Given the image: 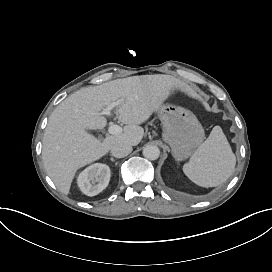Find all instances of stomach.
<instances>
[{
    "instance_id": "stomach-1",
    "label": "stomach",
    "mask_w": 272,
    "mask_h": 272,
    "mask_svg": "<svg viewBox=\"0 0 272 272\" xmlns=\"http://www.w3.org/2000/svg\"><path fill=\"white\" fill-rule=\"evenodd\" d=\"M156 112L163 124V139L177 161L191 156L202 144L205 133L201 123L189 110L171 104L160 105Z\"/></svg>"
}]
</instances>
